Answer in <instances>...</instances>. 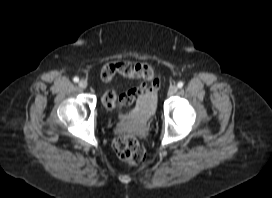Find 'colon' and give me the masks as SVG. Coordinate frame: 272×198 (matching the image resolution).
I'll list each match as a JSON object with an SVG mask.
<instances>
[{"mask_svg": "<svg viewBox=\"0 0 272 198\" xmlns=\"http://www.w3.org/2000/svg\"><path fill=\"white\" fill-rule=\"evenodd\" d=\"M113 74L111 68L103 70L104 79H108ZM114 150L118 157L130 165H138L145 161L146 152L142 144L131 135H121L114 140Z\"/></svg>", "mask_w": 272, "mask_h": 198, "instance_id": "1", "label": "colon"}]
</instances>
